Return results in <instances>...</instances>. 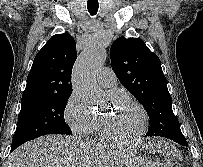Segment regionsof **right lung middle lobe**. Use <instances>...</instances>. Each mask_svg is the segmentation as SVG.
Segmentation results:
<instances>
[{
	"label": "right lung middle lobe",
	"mask_w": 203,
	"mask_h": 167,
	"mask_svg": "<svg viewBox=\"0 0 203 167\" xmlns=\"http://www.w3.org/2000/svg\"><path fill=\"white\" fill-rule=\"evenodd\" d=\"M70 95L38 97L21 101V111L11 149L46 134H71L64 110Z\"/></svg>",
	"instance_id": "right-lung-middle-lobe-1"
}]
</instances>
